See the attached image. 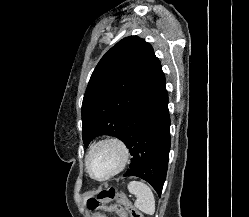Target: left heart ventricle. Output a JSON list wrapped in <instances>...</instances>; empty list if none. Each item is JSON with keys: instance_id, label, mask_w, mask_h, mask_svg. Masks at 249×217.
Returning <instances> with one entry per match:
<instances>
[{"instance_id": "left-heart-ventricle-1", "label": "left heart ventricle", "mask_w": 249, "mask_h": 217, "mask_svg": "<svg viewBox=\"0 0 249 217\" xmlns=\"http://www.w3.org/2000/svg\"><path fill=\"white\" fill-rule=\"evenodd\" d=\"M119 162V151L112 146L98 148L91 157L92 174L102 177L111 172Z\"/></svg>"}]
</instances>
